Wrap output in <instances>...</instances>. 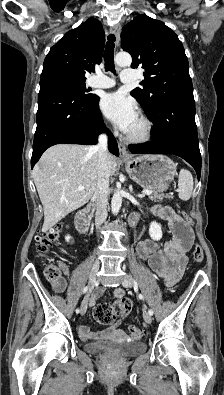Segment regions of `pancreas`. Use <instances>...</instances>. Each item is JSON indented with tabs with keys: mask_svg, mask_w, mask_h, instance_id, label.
<instances>
[{
	"mask_svg": "<svg viewBox=\"0 0 224 395\" xmlns=\"http://www.w3.org/2000/svg\"><path fill=\"white\" fill-rule=\"evenodd\" d=\"M149 198L152 201L156 202V201H162L164 198H170V196L161 194L159 192H154L152 195H149Z\"/></svg>",
	"mask_w": 224,
	"mask_h": 395,
	"instance_id": "cf45deb5",
	"label": "pancreas"
}]
</instances>
